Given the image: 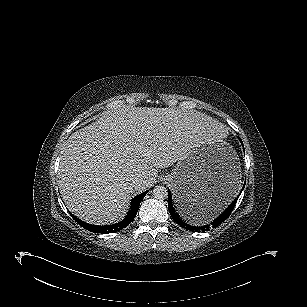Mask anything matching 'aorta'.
Returning a JSON list of instances; mask_svg holds the SVG:
<instances>
[{
  "mask_svg": "<svg viewBox=\"0 0 307 307\" xmlns=\"http://www.w3.org/2000/svg\"><path fill=\"white\" fill-rule=\"evenodd\" d=\"M153 196L158 200H164L168 197L167 188L163 185H157L153 189Z\"/></svg>",
  "mask_w": 307,
  "mask_h": 307,
  "instance_id": "obj_1",
  "label": "aorta"
}]
</instances>
